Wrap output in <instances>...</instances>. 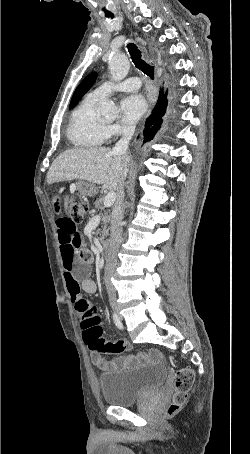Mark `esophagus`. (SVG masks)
<instances>
[{
	"label": "esophagus",
	"mask_w": 250,
	"mask_h": 454,
	"mask_svg": "<svg viewBox=\"0 0 250 454\" xmlns=\"http://www.w3.org/2000/svg\"><path fill=\"white\" fill-rule=\"evenodd\" d=\"M151 108H152V104L150 103V105H149V111L151 110Z\"/></svg>",
	"instance_id": "1"
}]
</instances>
